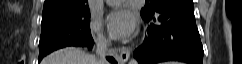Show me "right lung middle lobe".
Listing matches in <instances>:
<instances>
[{
  "label": "right lung middle lobe",
  "mask_w": 242,
  "mask_h": 64,
  "mask_svg": "<svg viewBox=\"0 0 242 64\" xmlns=\"http://www.w3.org/2000/svg\"><path fill=\"white\" fill-rule=\"evenodd\" d=\"M89 19V8L42 14L39 59L59 48L91 42Z\"/></svg>",
  "instance_id": "1"
}]
</instances>
